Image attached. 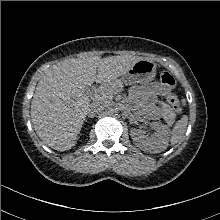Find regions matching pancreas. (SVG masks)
Instances as JSON below:
<instances>
[{"instance_id":"cf45deb5","label":"pancreas","mask_w":220,"mask_h":220,"mask_svg":"<svg viewBox=\"0 0 220 220\" xmlns=\"http://www.w3.org/2000/svg\"><path fill=\"white\" fill-rule=\"evenodd\" d=\"M109 95L110 94H108V93L100 94V97H99V99L101 100L100 103L103 104L104 102H106L109 98ZM160 112L162 113V115L164 116V118L168 122H171V120H173L174 113L169 105L162 103L161 108H160Z\"/></svg>"}]
</instances>
